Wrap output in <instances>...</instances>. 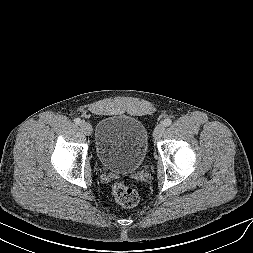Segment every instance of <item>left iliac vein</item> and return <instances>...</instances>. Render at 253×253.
<instances>
[{
  "label": "left iliac vein",
  "mask_w": 253,
  "mask_h": 253,
  "mask_svg": "<svg viewBox=\"0 0 253 253\" xmlns=\"http://www.w3.org/2000/svg\"><path fill=\"white\" fill-rule=\"evenodd\" d=\"M164 131H165V126L163 124H159L158 126H156L153 133L154 139L159 140L162 137Z\"/></svg>",
  "instance_id": "4c4485c4"
}]
</instances>
